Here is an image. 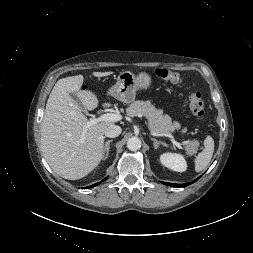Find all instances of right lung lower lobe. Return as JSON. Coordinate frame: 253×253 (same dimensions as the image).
I'll return each instance as SVG.
<instances>
[{"label":"right lung lower lobe","instance_id":"right-lung-lower-lobe-1","mask_svg":"<svg viewBox=\"0 0 253 253\" xmlns=\"http://www.w3.org/2000/svg\"><path fill=\"white\" fill-rule=\"evenodd\" d=\"M99 183H96V184H93L92 186H90V187H87V188H91V187H94V186H96V185H98Z\"/></svg>","mask_w":253,"mask_h":253}]
</instances>
